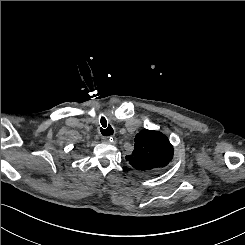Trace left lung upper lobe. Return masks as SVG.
Segmentation results:
<instances>
[{"label": "left lung upper lobe", "instance_id": "1", "mask_svg": "<svg viewBox=\"0 0 245 245\" xmlns=\"http://www.w3.org/2000/svg\"><path fill=\"white\" fill-rule=\"evenodd\" d=\"M173 159V147L159 131L141 130L135 137L134 150L126 156L128 163L141 174L151 175L164 171Z\"/></svg>", "mask_w": 245, "mask_h": 245}]
</instances>
